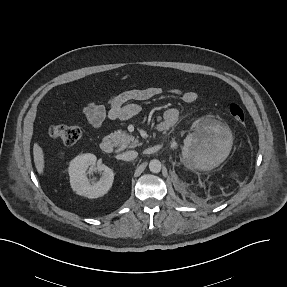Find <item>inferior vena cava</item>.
<instances>
[{
  "mask_svg": "<svg viewBox=\"0 0 287 287\" xmlns=\"http://www.w3.org/2000/svg\"><path fill=\"white\" fill-rule=\"evenodd\" d=\"M138 156V153L134 150L126 151L122 153L121 158L125 161L134 160Z\"/></svg>",
  "mask_w": 287,
  "mask_h": 287,
  "instance_id": "1",
  "label": "inferior vena cava"
}]
</instances>
